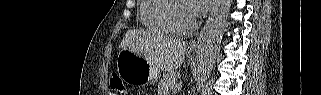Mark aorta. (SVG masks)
<instances>
[{
	"mask_svg": "<svg viewBox=\"0 0 321 95\" xmlns=\"http://www.w3.org/2000/svg\"><path fill=\"white\" fill-rule=\"evenodd\" d=\"M232 2V0H215L198 59L196 71L197 92L201 91L210 76L226 28Z\"/></svg>",
	"mask_w": 321,
	"mask_h": 95,
	"instance_id": "762f6f07",
	"label": "aorta"
}]
</instances>
